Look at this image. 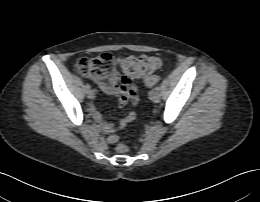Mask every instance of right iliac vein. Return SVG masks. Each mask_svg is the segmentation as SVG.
Masks as SVG:
<instances>
[{"instance_id":"63e3f726","label":"right iliac vein","mask_w":260,"mask_h":202,"mask_svg":"<svg viewBox=\"0 0 260 202\" xmlns=\"http://www.w3.org/2000/svg\"><path fill=\"white\" fill-rule=\"evenodd\" d=\"M87 97H88L89 99H93V98H94V92H93L92 90H88V91H87Z\"/></svg>"}]
</instances>
